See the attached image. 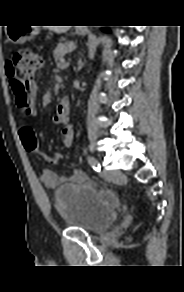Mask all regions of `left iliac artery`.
I'll use <instances>...</instances> for the list:
<instances>
[{
	"instance_id": "obj_1",
	"label": "left iliac artery",
	"mask_w": 184,
	"mask_h": 292,
	"mask_svg": "<svg viewBox=\"0 0 184 292\" xmlns=\"http://www.w3.org/2000/svg\"><path fill=\"white\" fill-rule=\"evenodd\" d=\"M88 162L90 164V166L97 172L101 171V165L98 162V160L96 158H94L93 156H88Z\"/></svg>"
}]
</instances>
